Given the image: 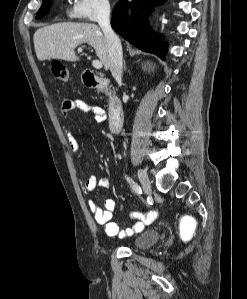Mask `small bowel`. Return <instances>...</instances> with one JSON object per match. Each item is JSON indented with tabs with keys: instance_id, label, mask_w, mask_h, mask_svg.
I'll list each match as a JSON object with an SVG mask.
<instances>
[{
	"instance_id": "1",
	"label": "small bowel",
	"mask_w": 247,
	"mask_h": 299,
	"mask_svg": "<svg viewBox=\"0 0 247 299\" xmlns=\"http://www.w3.org/2000/svg\"><path fill=\"white\" fill-rule=\"evenodd\" d=\"M72 110H79L84 113H89L97 122H102L106 118L104 109L99 106L88 104L87 102L80 99L63 100L61 105V116L63 120H68L69 113ZM66 139L69 147L73 151L79 150V143L70 131L66 132ZM110 186L111 181L108 177L97 178L94 175L89 176L81 183L82 190L85 194H90L96 187L108 189ZM88 207L94 217L95 222L104 227V231L109 237L121 238L138 233L143 230L145 225L150 224L158 214L156 209H151L146 214L137 211L131 212L127 219L135 220L136 222L134 223L132 228H128L122 231L120 230L119 225L112 220L113 212L116 208V202L114 199H106L104 202V208H100L94 201H90L88 203Z\"/></svg>"
}]
</instances>
